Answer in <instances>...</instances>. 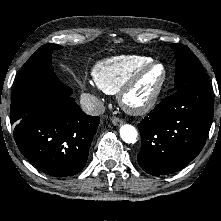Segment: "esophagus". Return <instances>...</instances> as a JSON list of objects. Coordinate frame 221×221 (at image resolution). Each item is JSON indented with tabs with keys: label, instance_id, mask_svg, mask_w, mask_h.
<instances>
[{
	"label": "esophagus",
	"instance_id": "1",
	"mask_svg": "<svg viewBox=\"0 0 221 221\" xmlns=\"http://www.w3.org/2000/svg\"><path fill=\"white\" fill-rule=\"evenodd\" d=\"M112 123H113V125H121V124H123V120L122 119H120V118H118V117H114V118H112Z\"/></svg>",
	"mask_w": 221,
	"mask_h": 221
}]
</instances>
